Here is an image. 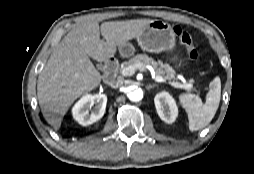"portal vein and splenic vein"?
Listing matches in <instances>:
<instances>
[{"mask_svg":"<svg viewBox=\"0 0 254 174\" xmlns=\"http://www.w3.org/2000/svg\"><path fill=\"white\" fill-rule=\"evenodd\" d=\"M137 69H140V70L144 71L145 67L141 64L130 65V66H127V67L123 68L122 71H121V74L123 76H131L135 73V71ZM153 79L156 82H159V83H168L169 85H171L175 88H180V89H192L193 88V85L190 84V83L182 84V83H179V82H172V81L167 82L166 79H164L161 76H155L154 75Z\"/></svg>","mask_w":254,"mask_h":174,"instance_id":"obj_1","label":"portal vein and splenic vein"}]
</instances>
